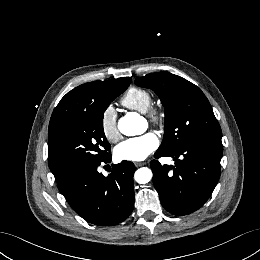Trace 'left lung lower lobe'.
Returning <instances> with one entry per match:
<instances>
[{
	"label": "left lung lower lobe",
	"instance_id": "0a47b994",
	"mask_svg": "<svg viewBox=\"0 0 260 260\" xmlns=\"http://www.w3.org/2000/svg\"><path fill=\"white\" fill-rule=\"evenodd\" d=\"M222 153L219 139L193 141L173 151L157 150L156 159L170 156L176 161L174 166L157 160L150 163L162 206L179 216L198 210L219 180Z\"/></svg>",
	"mask_w": 260,
	"mask_h": 260
}]
</instances>
